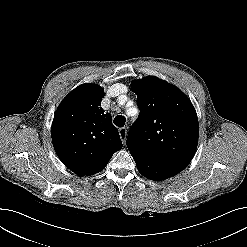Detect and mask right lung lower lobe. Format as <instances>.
<instances>
[{"label":"right lung lower lobe","instance_id":"right-lung-lower-lobe-1","mask_svg":"<svg viewBox=\"0 0 247 247\" xmlns=\"http://www.w3.org/2000/svg\"><path fill=\"white\" fill-rule=\"evenodd\" d=\"M101 171V170H100ZM100 171H97V172H95V173H98V172H100ZM95 173H92V174H95ZM92 174H89V175H92Z\"/></svg>","mask_w":247,"mask_h":247}]
</instances>
